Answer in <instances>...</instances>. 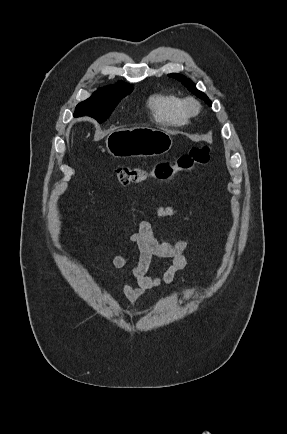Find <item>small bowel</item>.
Instances as JSON below:
<instances>
[{
  "instance_id": "c3829d8e",
  "label": "small bowel",
  "mask_w": 287,
  "mask_h": 434,
  "mask_svg": "<svg viewBox=\"0 0 287 434\" xmlns=\"http://www.w3.org/2000/svg\"><path fill=\"white\" fill-rule=\"evenodd\" d=\"M151 208L160 218H181L190 222L189 215L175 205L152 203ZM122 231L129 235L132 247L139 251L136 263H130L128 254H121L109 260L112 269L126 268L130 277L123 284V292L130 303H135L146 291L168 285L174 282L178 273L186 267L185 253L192 243V234H187L174 243H160L153 236L149 222L138 221L134 225L124 227ZM153 257L171 259V265L160 277L146 274L150 260Z\"/></svg>"
}]
</instances>
